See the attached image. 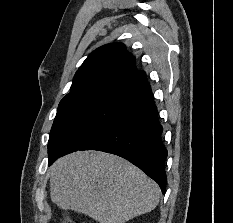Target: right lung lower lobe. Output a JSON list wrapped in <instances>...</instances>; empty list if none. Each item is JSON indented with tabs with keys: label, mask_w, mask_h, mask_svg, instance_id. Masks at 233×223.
Returning a JSON list of instances; mask_svg holds the SVG:
<instances>
[{
	"label": "right lung lower lobe",
	"mask_w": 233,
	"mask_h": 223,
	"mask_svg": "<svg viewBox=\"0 0 233 223\" xmlns=\"http://www.w3.org/2000/svg\"><path fill=\"white\" fill-rule=\"evenodd\" d=\"M122 97V111L78 150H100L121 156L155 180L165 193L167 150L162 144V126L151 88L146 81L125 90ZM65 154L68 153H49V165Z\"/></svg>",
	"instance_id": "obj_1"
}]
</instances>
